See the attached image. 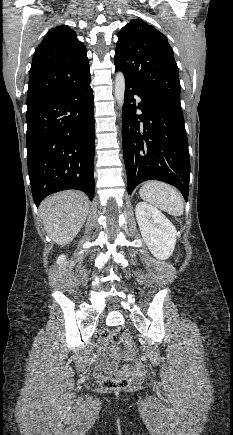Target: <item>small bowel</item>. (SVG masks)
Instances as JSON below:
<instances>
[{"instance_id": "obj_1", "label": "small bowel", "mask_w": 233, "mask_h": 435, "mask_svg": "<svg viewBox=\"0 0 233 435\" xmlns=\"http://www.w3.org/2000/svg\"><path fill=\"white\" fill-rule=\"evenodd\" d=\"M99 352L103 355L94 366V372L98 377H103L119 371L113 365L114 362H128L124 367L128 373L142 374L144 372L136 353H121L117 348L109 346V340L102 339L98 343Z\"/></svg>"}]
</instances>
